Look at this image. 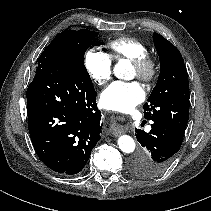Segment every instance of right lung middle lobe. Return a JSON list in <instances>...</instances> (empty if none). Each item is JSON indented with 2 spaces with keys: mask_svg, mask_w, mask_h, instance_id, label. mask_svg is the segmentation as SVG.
Instances as JSON below:
<instances>
[{
  "mask_svg": "<svg viewBox=\"0 0 211 211\" xmlns=\"http://www.w3.org/2000/svg\"><path fill=\"white\" fill-rule=\"evenodd\" d=\"M97 35L98 32L87 29L65 30L57 34L41 55H53L60 64L77 77L93 84L84 65V54L91 45V40Z\"/></svg>",
  "mask_w": 211,
  "mask_h": 211,
  "instance_id": "1",
  "label": "right lung middle lobe"
}]
</instances>
